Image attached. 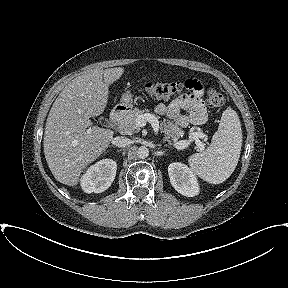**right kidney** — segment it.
<instances>
[{
    "instance_id": "obj_1",
    "label": "right kidney",
    "mask_w": 288,
    "mask_h": 288,
    "mask_svg": "<svg viewBox=\"0 0 288 288\" xmlns=\"http://www.w3.org/2000/svg\"><path fill=\"white\" fill-rule=\"evenodd\" d=\"M117 164L103 159L90 166L81 178V187L86 193H101L108 189L115 179Z\"/></svg>"
}]
</instances>
